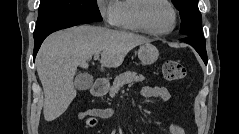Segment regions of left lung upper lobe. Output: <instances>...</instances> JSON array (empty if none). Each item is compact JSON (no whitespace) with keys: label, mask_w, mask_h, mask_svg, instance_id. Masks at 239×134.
<instances>
[{"label":"left lung upper lobe","mask_w":239,"mask_h":134,"mask_svg":"<svg viewBox=\"0 0 239 134\" xmlns=\"http://www.w3.org/2000/svg\"><path fill=\"white\" fill-rule=\"evenodd\" d=\"M181 16V31L189 37L204 38L201 32L202 16L198 0H172Z\"/></svg>","instance_id":"5c2ea615"}]
</instances>
